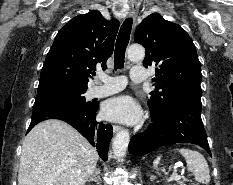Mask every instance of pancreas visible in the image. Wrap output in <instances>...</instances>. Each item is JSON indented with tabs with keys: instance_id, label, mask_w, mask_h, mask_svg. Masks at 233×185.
<instances>
[{
	"instance_id": "pancreas-1",
	"label": "pancreas",
	"mask_w": 233,
	"mask_h": 185,
	"mask_svg": "<svg viewBox=\"0 0 233 185\" xmlns=\"http://www.w3.org/2000/svg\"><path fill=\"white\" fill-rule=\"evenodd\" d=\"M174 185H186L183 181H177V184Z\"/></svg>"
}]
</instances>
